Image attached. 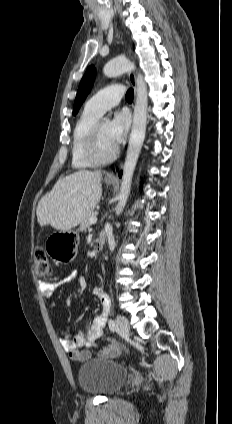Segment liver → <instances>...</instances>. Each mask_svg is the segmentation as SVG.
I'll use <instances>...</instances> for the list:
<instances>
[{
  "label": "liver",
  "mask_w": 232,
  "mask_h": 424,
  "mask_svg": "<svg viewBox=\"0 0 232 424\" xmlns=\"http://www.w3.org/2000/svg\"><path fill=\"white\" fill-rule=\"evenodd\" d=\"M101 171L79 170L60 178L38 203L40 226L69 231L93 212L102 196Z\"/></svg>",
  "instance_id": "liver-1"
}]
</instances>
